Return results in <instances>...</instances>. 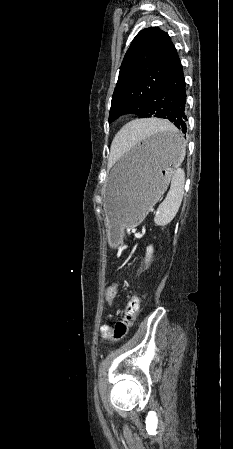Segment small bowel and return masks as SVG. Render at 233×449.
Masks as SVG:
<instances>
[{
	"label": "small bowel",
	"instance_id": "c3829d8e",
	"mask_svg": "<svg viewBox=\"0 0 233 449\" xmlns=\"http://www.w3.org/2000/svg\"><path fill=\"white\" fill-rule=\"evenodd\" d=\"M106 327H107V326H103V327H102V331H103Z\"/></svg>",
	"mask_w": 233,
	"mask_h": 449
}]
</instances>
